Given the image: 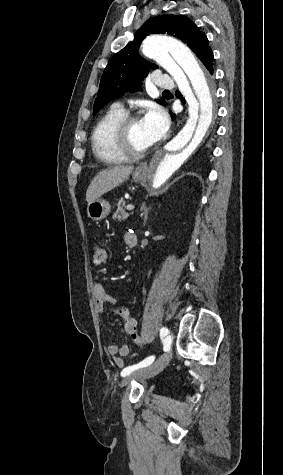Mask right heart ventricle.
<instances>
[{"label": "right heart ventricle", "mask_w": 283, "mask_h": 475, "mask_svg": "<svg viewBox=\"0 0 283 475\" xmlns=\"http://www.w3.org/2000/svg\"><path fill=\"white\" fill-rule=\"evenodd\" d=\"M126 115V110L122 105L114 104L95 123L91 134V142L93 151L100 160L102 159L98 155L99 149L102 147L105 151V147L113 143L110 138L112 130Z\"/></svg>", "instance_id": "e07e8e85"}]
</instances>
